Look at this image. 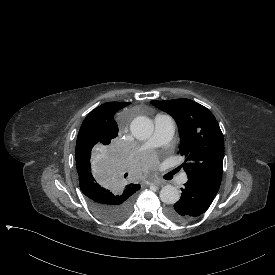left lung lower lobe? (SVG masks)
I'll return each mask as SVG.
<instances>
[{
  "label": "left lung lower lobe",
  "mask_w": 275,
  "mask_h": 275,
  "mask_svg": "<svg viewBox=\"0 0 275 275\" xmlns=\"http://www.w3.org/2000/svg\"><path fill=\"white\" fill-rule=\"evenodd\" d=\"M180 200L167 209L168 217L176 222H187L200 216L211 205L218 190L195 180H188Z\"/></svg>",
  "instance_id": "1"
}]
</instances>
